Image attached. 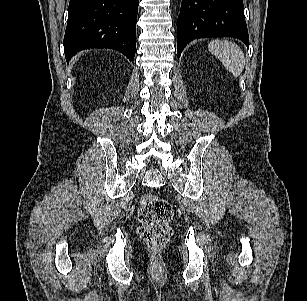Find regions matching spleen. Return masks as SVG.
Instances as JSON below:
<instances>
[{
  "label": "spleen",
  "instance_id": "1",
  "mask_svg": "<svg viewBox=\"0 0 307 301\" xmlns=\"http://www.w3.org/2000/svg\"><path fill=\"white\" fill-rule=\"evenodd\" d=\"M208 50L215 55L224 67L238 77L245 65V57L241 48L230 41L215 39L208 44Z\"/></svg>",
  "mask_w": 307,
  "mask_h": 301
}]
</instances>
